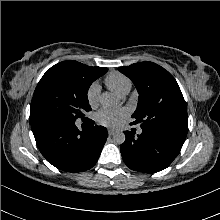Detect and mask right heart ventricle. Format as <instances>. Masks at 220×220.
Here are the masks:
<instances>
[{
    "instance_id": "e07e8e85",
    "label": "right heart ventricle",
    "mask_w": 220,
    "mask_h": 220,
    "mask_svg": "<svg viewBox=\"0 0 220 220\" xmlns=\"http://www.w3.org/2000/svg\"><path fill=\"white\" fill-rule=\"evenodd\" d=\"M104 81L107 87L118 95L127 94L132 85L130 79L119 72L109 73Z\"/></svg>"
}]
</instances>
